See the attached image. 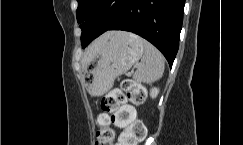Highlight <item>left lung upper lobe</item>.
<instances>
[{
	"label": "left lung upper lobe",
	"mask_w": 243,
	"mask_h": 145,
	"mask_svg": "<svg viewBox=\"0 0 243 145\" xmlns=\"http://www.w3.org/2000/svg\"><path fill=\"white\" fill-rule=\"evenodd\" d=\"M77 21L82 29L81 44L88 35L86 21L94 15L96 20L113 18L122 6L124 0H77Z\"/></svg>",
	"instance_id": "left-lung-upper-lobe-1"
}]
</instances>
